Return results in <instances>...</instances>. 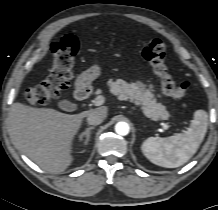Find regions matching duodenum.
I'll list each match as a JSON object with an SVG mask.
<instances>
[{
    "mask_svg": "<svg viewBox=\"0 0 218 210\" xmlns=\"http://www.w3.org/2000/svg\"><path fill=\"white\" fill-rule=\"evenodd\" d=\"M90 94L91 92L89 83L84 78L78 79L75 90V98L77 99V101H86L89 98Z\"/></svg>",
    "mask_w": 218,
    "mask_h": 210,
    "instance_id": "obj_1",
    "label": "duodenum"
}]
</instances>
